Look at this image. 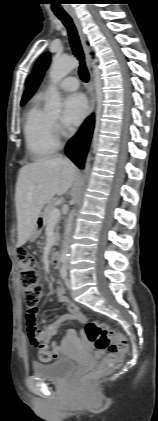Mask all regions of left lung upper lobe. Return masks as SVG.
<instances>
[{"label": "left lung upper lobe", "mask_w": 158, "mask_h": 421, "mask_svg": "<svg viewBox=\"0 0 158 421\" xmlns=\"http://www.w3.org/2000/svg\"><path fill=\"white\" fill-rule=\"evenodd\" d=\"M49 62H50V54L48 52L47 53H44L38 59L36 65L34 67V70H33V73H32L31 79H30V82H29V84L27 86V89H26V91L24 93V96L22 98L21 105H24L26 103V101L37 90V88H38V86H39V84H40V82H41V80L43 78L44 72L48 68Z\"/></svg>", "instance_id": "1"}]
</instances>
